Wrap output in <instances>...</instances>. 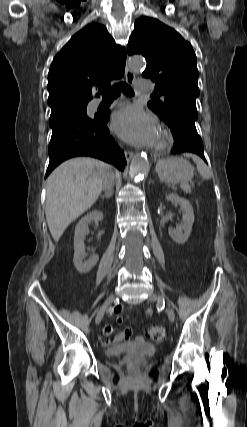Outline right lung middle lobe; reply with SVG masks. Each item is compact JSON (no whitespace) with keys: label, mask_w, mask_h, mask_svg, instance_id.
Returning a JSON list of instances; mask_svg holds the SVG:
<instances>
[{"label":"right lung middle lobe","mask_w":247,"mask_h":427,"mask_svg":"<svg viewBox=\"0 0 247 427\" xmlns=\"http://www.w3.org/2000/svg\"><path fill=\"white\" fill-rule=\"evenodd\" d=\"M66 110H74V111H79V112H86V105L69 107V108H66Z\"/></svg>","instance_id":"obj_1"}]
</instances>
